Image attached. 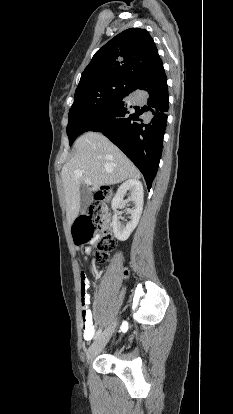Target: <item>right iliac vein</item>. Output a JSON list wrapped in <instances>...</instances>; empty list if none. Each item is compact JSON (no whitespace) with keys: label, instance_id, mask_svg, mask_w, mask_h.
Instances as JSON below:
<instances>
[{"label":"right iliac vein","instance_id":"63e3f726","mask_svg":"<svg viewBox=\"0 0 233 414\" xmlns=\"http://www.w3.org/2000/svg\"><path fill=\"white\" fill-rule=\"evenodd\" d=\"M115 327V322L90 346L87 352V364L98 355L109 341Z\"/></svg>","mask_w":233,"mask_h":414}]
</instances>
